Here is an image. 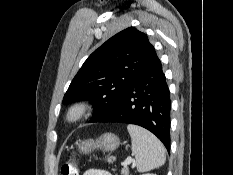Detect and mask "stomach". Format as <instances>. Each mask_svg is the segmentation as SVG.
I'll list each match as a JSON object with an SVG mask.
<instances>
[{
  "label": "stomach",
  "mask_w": 233,
  "mask_h": 175,
  "mask_svg": "<svg viewBox=\"0 0 233 175\" xmlns=\"http://www.w3.org/2000/svg\"><path fill=\"white\" fill-rule=\"evenodd\" d=\"M120 144L119 138L112 133L102 135L96 141L85 140L78 145L79 150L84 153H90L94 149H101L104 151H114Z\"/></svg>",
  "instance_id": "stomach-1"
}]
</instances>
